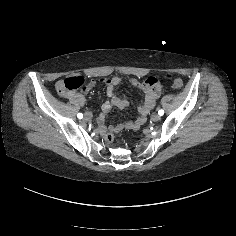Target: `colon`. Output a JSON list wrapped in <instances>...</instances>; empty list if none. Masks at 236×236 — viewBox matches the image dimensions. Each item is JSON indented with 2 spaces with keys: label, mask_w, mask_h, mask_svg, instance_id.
Masks as SVG:
<instances>
[{
  "label": "colon",
  "mask_w": 236,
  "mask_h": 236,
  "mask_svg": "<svg viewBox=\"0 0 236 236\" xmlns=\"http://www.w3.org/2000/svg\"><path fill=\"white\" fill-rule=\"evenodd\" d=\"M165 78L170 80L171 82V86L173 88H181L183 86V80L180 77H175L172 74H166ZM150 83H156V79L155 78H150L149 80ZM85 84V80L83 77L81 76H71L66 78L65 80L61 81L58 84V91L61 94H66V93H70L72 91H75L81 87H83ZM114 139V136L112 134V132H108L105 135V140L108 143H111Z\"/></svg>",
  "instance_id": "colon-1"
}]
</instances>
